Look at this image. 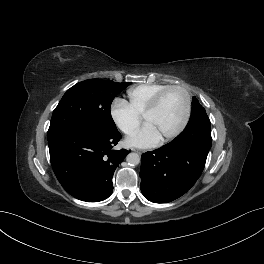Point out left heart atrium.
Listing matches in <instances>:
<instances>
[{
	"mask_svg": "<svg viewBox=\"0 0 264 264\" xmlns=\"http://www.w3.org/2000/svg\"><path fill=\"white\" fill-rule=\"evenodd\" d=\"M161 139L157 130L150 123H145L137 132L129 136L125 143L130 147L150 148L156 146Z\"/></svg>",
	"mask_w": 264,
	"mask_h": 264,
	"instance_id": "left-heart-atrium-1",
	"label": "left heart atrium"
}]
</instances>
